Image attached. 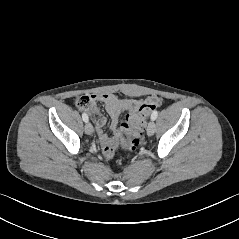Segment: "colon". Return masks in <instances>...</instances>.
Here are the masks:
<instances>
[{
    "mask_svg": "<svg viewBox=\"0 0 239 239\" xmlns=\"http://www.w3.org/2000/svg\"><path fill=\"white\" fill-rule=\"evenodd\" d=\"M75 103L78 108L83 110L89 111L92 108V101L89 96H81ZM154 107L155 104H142L137 112L130 115L127 121L123 123V129L126 135L121 138L120 146L122 151L130 154L138 147L146 123V118Z\"/></svg>",
    "mask_w": 239,
    "mask_h": 239,
    "instance_id": "1",
    "label": "colon"
}]
</instances>
